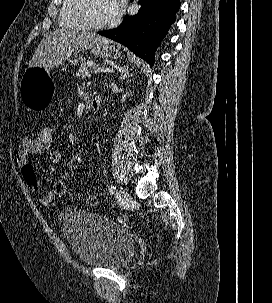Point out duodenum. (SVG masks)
<instances>
[{"instance_id":"410a0bca","label":"duodenum","mask_w":272,"mask_h":303,"mask_svg":"<svg viewBox=\"0 0 272 303\" xmlns=\"http://www.w3.org/2000/svg\"><path fill=\"white\" fill-rule=\"evenodd\" d=\"M101 103H102V97L101 96H95L89 104V110L90 111L99 110V108L101 107Z\"/></svg>"}]
</instances>
